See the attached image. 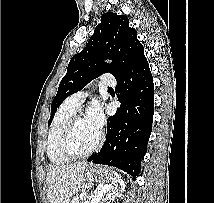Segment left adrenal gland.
Returning <instances> with one entry per match:
<instances>
[{
  "label": "left adrenal gland",
  "instance_id": "left-adrenal-gland-1",
  "mask_svg": "<svg viewBox=\"0 0 214 203\" xmlns=\"http://www.w3.org/2000/svg\"><path fill=\"white\" fill-rule=\"evenodd\" d=\"M118 194L119 193H118L117 189L112 190L111 192L108 193V195H107V197L105 199V202H106V200H112V199H114V197L117 196Z\"/></svg>",
  "mask_w": 214,
  "mask_h": 203
}]
</instances>
